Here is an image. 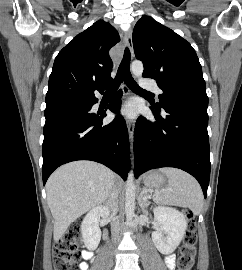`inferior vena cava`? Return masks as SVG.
Returning a JSON list of instances; mask_svg holds the SVG:
<instances>
[{"label":"inferior vena cava","instance_id":"602c4592","mask_svg":"<svg viewBox=\"0 0 242 270\" xmlns=\"http://www.w3.org/2000/svg\"><path fill=\"white\" fill-rule=\"evenodd\" d=\"M118 195H119L118 189L114 185L113 189H112V191H111V193L109 195L108 206H109L110 210L112 211V214L110 216L111 231H112V236H113V239H114L115 242L119 237V222L115 218V214H116L117 209H118V205H117Z\"/></svg>","mask_w":242,"mask_h":270}]
</instances>
